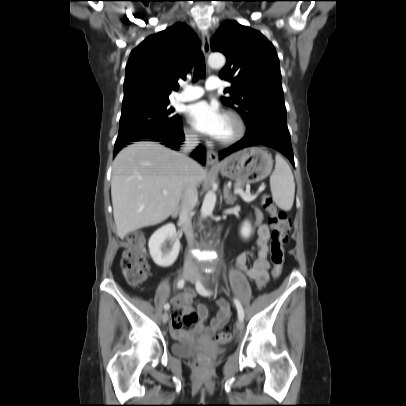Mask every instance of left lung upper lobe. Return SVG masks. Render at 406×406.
<instances>
[{"label":"left lung upper lobe","instance_id":"left-lung-upper-lobe-1","mask_svg":"<svg viewBox=\"0 0 406 406\" xmlns=\"http://www.w3.org/2000/svg\"><path fill=\"white\" fill-rule=\"evenodd\" d=\"M212 51L227 57L220 78L232 83L221 101L244 118L247 128L275 124L287 128L279 59L259 31L235 21L223 22L211 40Z\"/></svg>","mask_w":406,"mask_h":406}]
</instances>
